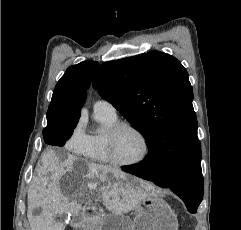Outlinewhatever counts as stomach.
I'll use <instances>...</instances> for the list:
<instances>
[{
	"label": "stomach",
	"instance_id": "obj_1",
	"mask_svg": "<svg viewBox=\"0 0 241 230\" xmlns=\"http://www.w3.org/2000/svg\"><path fill=\"white\" fill-rule=\"evenodd\" d=\"M110 182L123 181L109 175ZM133 221L111 215L94 230H178V220L171 207L161 198L149 195L133 210Z\"/></svg>",
	"mask_w": 241,
	"mask_h": 230
}]
</instances>
